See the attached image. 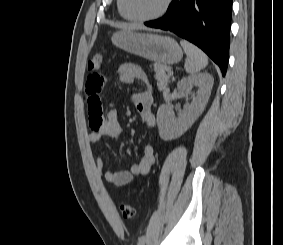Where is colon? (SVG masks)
I'll return each instance as SVG.
<instances>
[{"label": "colon", "instance_id": "colon-1", "mask_svg": "<svg viewBox=\"0 0 283 245\" xmlns=\"http://www.w3.org/2000/svg\"><path fill=\"white\" fill-rule=\"evenodd\" d=\"M103 63L102 55H94L88 62V69L90 71H97L101 68ZM121 214L126 219H131L135 216V209L129 203H123L120 206Z\"/></svg>", "mask_w": 283, "mask_h": 245}]
</instances>
